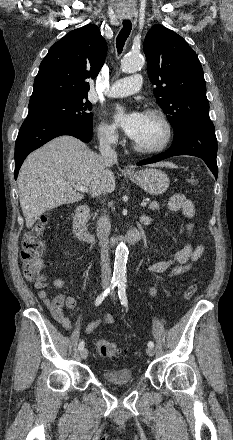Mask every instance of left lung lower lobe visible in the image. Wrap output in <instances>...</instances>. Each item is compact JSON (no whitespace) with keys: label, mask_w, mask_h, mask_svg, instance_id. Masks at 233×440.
Masks as SVG:
<instances>
[{"label":"left lung lower lobe","mask_w":233,"mask_h":440,"mask_svg":"<svg viewBox=\"0 0 233 440\" xmlns=\"http://www.w3.org/2000/svg\"><path fill=\"white\" fill-rule=\"evenodd\" d=\"M177 155H192L203 159L217 178V139L213 123L210 121L192 124L178 139L173 140L172 146L165 153L141 161L138 165L158 162Z\"/></svg>","instance_id":"left-lung-lower-lobe-1"}]
</instances>
